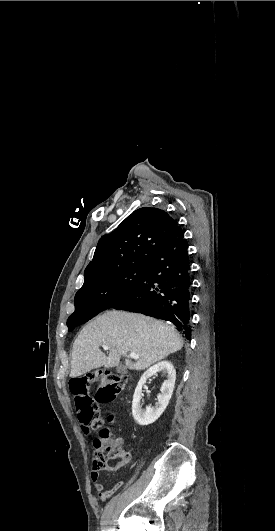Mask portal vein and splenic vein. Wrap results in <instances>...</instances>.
I'll use <instances>...</instances> for the list:
<instances>
[{"label": "portal vein and splenic vein", "instance_id": "obj_1", "mask_svg": "<svg viewBox=\"0 0 275 531\" xmlns=\"http://www.w3.org/2000/svg\"><path fill=\"white\" fill-rule=\"evenodd\" d=\"M102 349H104V351H108L109 347H107V345H102ZM130 357L131 359H140L136 353H130Z\"/></svg>", "mask_w": 275, "mask_h": 531}]
</instances>
